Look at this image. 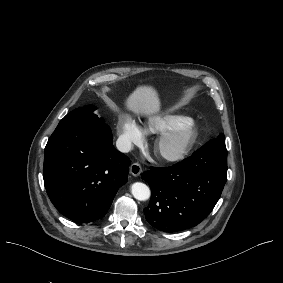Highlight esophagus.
<instances>
[{"label":"esophagus","instance_id":"34e87169","mask_svg":"<svg viewBox=\"0 0 283 283\" xmlns=\"http://www.w3.org/2000/svg\"><path fill=\"white\" fill-rule=\"evenodd\" d=\"M129 170H130V173L133 176H138L142 172V167H141V165L139 163H133V164H131Z\"/></svg>","mask_w":283,"mask_h":283}]
</instances>
